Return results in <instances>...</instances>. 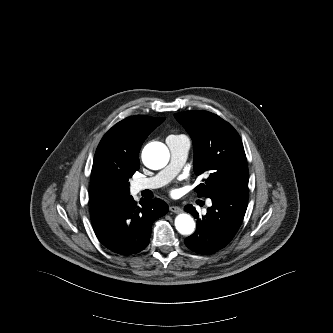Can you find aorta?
<instances>
[{"instance_id":"762f6f07","label":"aorta","mask_w":333,"mask_h":333,"mask_svg":"<svg viewBox=\"0 0 333 333\" xmlns=\"http://www.w3.org/2000/svg\"><path fill=\"white\" fill-rule=\"evenodd\" d=\"M169 157L168 148L160 142L149 143L142 151L144 165L153 170L165 167ZM175 227L180 234L191 235L195 230V222L189 214L182 213L175 218Z\"/></svg>"}]
</instances>
